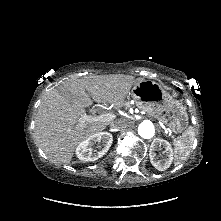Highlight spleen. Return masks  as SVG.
<instances>
[{
  "label": "spleen",
  "instance_id": "3e777b00",
  "mask_svg": "<svg viewBox=\"0 0 221 221\" xmlns=\"http://www.w3.org/2000/svg\"><path fill=\"white\" fill-rule=\"evenodd\" d=\"M194 140V132L192 128H188L181 137L174 140V153L176 163L181 164L190 154Z\"/></svg>",
  "mask_w": 221,
  "mask_h": 221
}]
</instances>
